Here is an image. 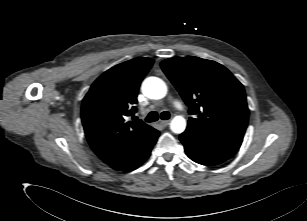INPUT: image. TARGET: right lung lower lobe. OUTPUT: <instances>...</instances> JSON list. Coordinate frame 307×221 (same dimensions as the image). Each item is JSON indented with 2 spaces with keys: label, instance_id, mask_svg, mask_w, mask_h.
Listing matches in <instances>:
<instances>
[{
  "label": "right lung lower lobe",
  "instance_id": "obj_1",
  "mask_svg": "<svg viewBox=\"0 0 307 221\" xmlns=\"http://www.w3.org/2000/svg\"><path fill=\"white\" fill-rule=\"evenodd\" d=\"M159 134V131L153 128L152 132L138 146L117 162L109 165L115 170L126 172L138 168L150 156L151 149Z\"/></svg>",
  "mask_w": 307,
  "mask_h": 221
}]
</instances>
